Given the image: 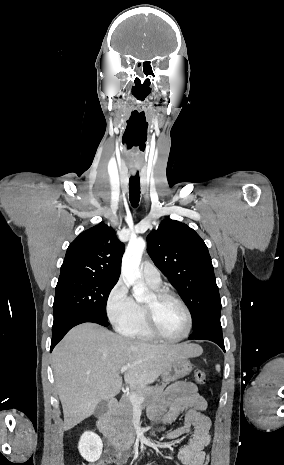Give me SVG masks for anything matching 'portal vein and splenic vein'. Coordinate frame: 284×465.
Masks as SVG:
<instances>
[{"instance_id": "1", "label": "portal vein and splenic vein", "mask_w": 284, "mask_h": 465, "mask_svg": "<svg viewBox=\"0 0 284 465\" xmlns=\"http://www.w3.org/2000/svg\"><path fill=\"white\" fill-rule=\"evenodd\" d=\"M128 369H130V365L129 367H122L120 373H126ZM127 397L129 401H131L132 407H141L142 403L145 401L144 397H138V395H134V393H128Z\"/></svg>"}]
</instances>
